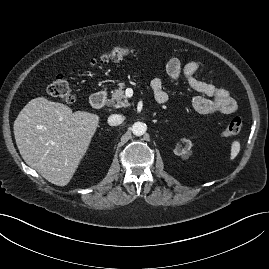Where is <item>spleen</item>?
I'll list each match as a JSON object with an SVG mask.
<instances>
[{
    "instance_id": "1",
    "label": "spleen",
    "mask_w": 269,
    "mask_h": 269,
    "mask_svg": "<svg viewBox=\"0 0 269 269\" xmlns=\"http://www.w3.org/2000/svg\"><path fill=\"white\" fill-rule=\"evenodd\" d=\"M240 151V142L239 141H233L231 145V153H230V159L233 160L238 155Z\"/></svg>"
}]
</instances>
